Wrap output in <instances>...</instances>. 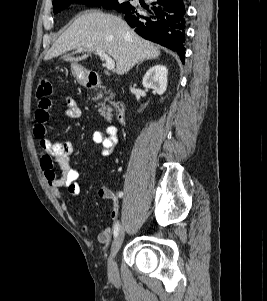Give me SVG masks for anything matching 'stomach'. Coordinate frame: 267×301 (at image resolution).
I'll use <instances>...</instances> for the list:
<instances>
[{"mask_svg": "<svg viewBox=\"0 0 267 301\" xmlns=\"http://www.w3.org/2000/svg\"><path fill=\"white\" fill-rule=\"evenodd\" d=\"M71 71H72V74L75 77V79L80 84H86L87 79H88V75H87V71L83 67H81L79 65L72 64Z\"/></svg>", "mask_w": 267, "mask_h": 301, "instance_id": "obj_1", "label": "stomach"}]
</instances>
